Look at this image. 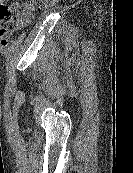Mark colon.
<instances>
[{
    "label": "colon",
    "mask_w": 133,
    "mask_h": 173,
    "mask_svg": "<svg viewBox=\"0 0 133 173\" xmlns=\"http://www.w3.org/2000/svg\"><path fill=\"white\" fill-rule=\"evenodd\" d=\"M59 0H31L29 9L40 10L55 5ZM15 24V17L8 5L0 3V40L7 44V36Z\"/></svg>",
    "instance_id": "5ec220e1"
}]
</instances>
